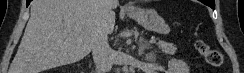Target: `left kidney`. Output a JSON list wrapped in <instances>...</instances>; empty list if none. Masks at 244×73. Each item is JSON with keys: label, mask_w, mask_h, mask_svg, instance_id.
<instances>
[{"label": "left kidney", "mask_w": 244, "mask_h": 73, "mask_svg": "<svg viewBox=\"0 0 244 73\" xmlns=\"http://www.w3.org/2000/svg\"><path fill=\"white\" fill-rule=\"evenodd\" d=\"M167 73H190L189 66L180 59H171L168 61Z\"/></svg>", "instance_id": "5707ae66"}]
</instances>
